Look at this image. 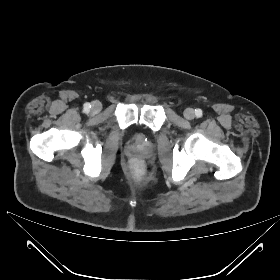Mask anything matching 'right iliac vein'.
Returning <instances> with one entry per match:
<instances>
[{"label": "right iliac vein", "mask_w": 280, "mask_h": 280, "mask_svg": "<svg viewBox=\"0 0 280 280\" xmlns=\"http://www.w3.org/2000/svg\"><path fill=\"white\" fill-rule=\"evenodd\" d=\"M101 109H102V105H101V103L99 102V101H94L93 103H92V105H91V111H92V113H98V112H100L101 111Z\"/></svg>", "instance_id": "63e3f726"}]
</instances>
